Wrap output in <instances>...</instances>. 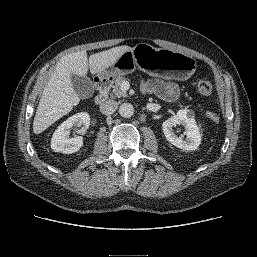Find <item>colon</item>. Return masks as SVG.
<instances>
[{
	"label": "colon",
	"mask_w": 257,
	"mask_h": 257,
	"mask_svg": "<svg viewBox=\"0 0 257 257\" xmlns=\"http://www.w3.org/2000/svg\"><path fill=\"white\" fill-rule=\"evenodd\" d=\"M213 86L208 80H201L197 84V91L202 96H208L212 93ZM207 117L212 122H217L219 120V115L213 111L207 112Z\"/></svg>",
	"instance_id": "obj_1"
}]
</instances>
